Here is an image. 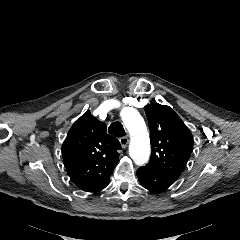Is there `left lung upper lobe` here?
<instances>
[{
	"mask_svg": "<svg viewBox=\"0 0 240 240\" xmlns=\"http://www.w3.org/2000/svg\"><path fill=\"white\" fill-rule=\"evenodd\" d=\"M152 155L148 166L176 181L193 150V136L181 118L166 105L145 106Z\"/></svg>",
	"mask_w": 240,
	"mask_h": 240,
	"instance_id": "obj_1",
	"label": "left lung upper lobe"
}]
</instances>
